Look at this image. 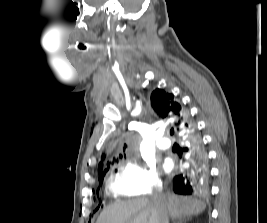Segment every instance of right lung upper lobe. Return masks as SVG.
<instances>
[{
	"label": "right lung upper lobe",
	"mask_w": 267,
	"mask_h": 223,
	"mask_svg": "<svg viewBox=\"0 0 267 223\" xmlns=\"http://www.w3.org/2000/svg\"><path fill=\"white\" fill-rule=\"evenodd\" d=\"M151 105L157 115L161 119L167 120L177 132L182 134V137H185L184 132L188 127L194 129L195 125L187 109L174 99L172 93L157 88L151 95ZM102 168L103 163L101 162L98 167L100 179L106 171L102 172Z\"/></svg>",
	"instance_id": "1"
}]
</instances>
